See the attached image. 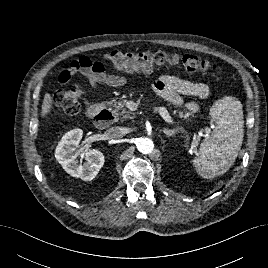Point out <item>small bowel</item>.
<instances>
[{"label":"small bowel","mask_w":268,"mask_h":268,"mask_svg":"<svg viewBox=\"0 0 268 268\" xmlns=\"http://www.w3.org/2000/svg\"><path fill=\"white\" fill-rule=\"evenodd\" d=\"M82 62L88 64L81 67ZM72 70L82 73L88 80L92 90H96L99 85L110 87H120L128 83V78L122 74L109 73L104 65L92 58L81 57L71 64ZM154 91L167 102L176 107H182L189 114L198 111V104L194 102L184 103L182 96H195L205 99L210 95V87L206 83L192 82L172 75H163L153 84Z\"/></svg>","instance_id":"1"}]
</instances>
